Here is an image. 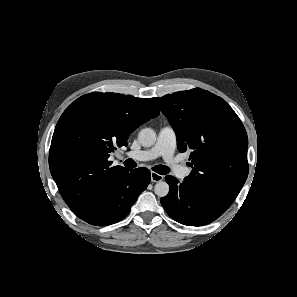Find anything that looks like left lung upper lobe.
Instances as JSON below:
<instances>
[{
    "label": "left lung upper lobe",
    "mask_w": 297,
    "mask_h": 297,
    "mask_svg": "<svg viewBox=\"0 0 297 297\" xmlns=\"http://www.w3.org/2000/svg\"><path fill=\"white\" fill-rule=\"evenodd\" d=\"M152 100L173 126L179 151L191 149L192 171L184 183L225 211L248 176V137L239 117L221 97L200 88Z\"/></svg>",
    "instance_id": "5c2ea615"
}]
</instances>
